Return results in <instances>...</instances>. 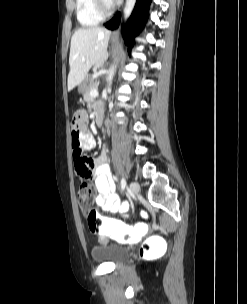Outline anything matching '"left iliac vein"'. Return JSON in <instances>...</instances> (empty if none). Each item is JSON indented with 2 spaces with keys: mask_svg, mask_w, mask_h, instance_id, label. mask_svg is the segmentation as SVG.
Wrapping results in <instances>:
<instances>
[{
  "mask_svg": "<svg viewBox=\"0 0 247 304\" xmlns=\"http://www.w3.org/2000/svg\"><path fill=\"white\" fill-rule=\"evenodd\" d=\"M140 191V186L137 182H131L130 184V192L132 195H137Z\"/></svg>",
  "mask_w": 247,
  "mask_h": 304,
  "instance_id": "left-iliac-vein-1",
  "label": "left iliac vein"
}]
</instances>
